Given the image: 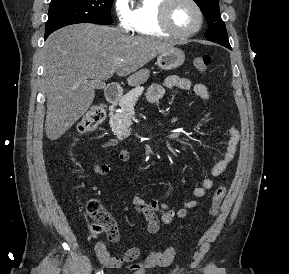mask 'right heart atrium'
<instances>
[{
  "label": "right heart atrium",
  "instance_id": "right-heart-atrium-1",
  "mask_svg": "<svg viewBox=\"0 0 289 274\" xmlns=\"http://www.w3.org/2000/svg\"><path fill=\"white\" fill-rule=\"evenodd\" d=\"M113 11L117 18L118 26L125 31L131 30L132 16L129 0H114Z\"/></svg>",
  "mask_w": 289,
  "mask_h": 274
}]
</instances>
